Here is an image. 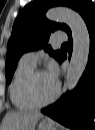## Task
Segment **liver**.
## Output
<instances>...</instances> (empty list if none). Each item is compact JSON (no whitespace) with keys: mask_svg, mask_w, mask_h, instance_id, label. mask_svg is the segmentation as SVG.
Returning <instances> with one entry per match:
<instances>
[{"mask_svg":"<svg viewBox=\"0 0 95 130\" xmlns=\"http://www.w3.org/2000/svg\"><path fill=\"white\" fill-rule=\"evenodd\" d=\"M42 117L40 112H8L2 121V130H35Z\"/></svg>","mask_w":95,"mask_h":130,"instance_id":"1","label":"liver"}]
</instances>
